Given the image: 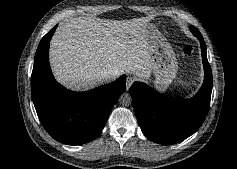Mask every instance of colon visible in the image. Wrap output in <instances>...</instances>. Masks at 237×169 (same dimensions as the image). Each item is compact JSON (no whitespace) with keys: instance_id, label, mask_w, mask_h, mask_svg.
Here are the masks:
<instances>
[{"instance_id":"colon-1","label":"colon","mask_w":237,"mask_h":169,"mask_svg":"<svg viewBox=\"0 0 237 169\" xmlns=\"http://www.w3.org/2000/svg\"><path fill=\"white\" fill-rule=\"evenodd\" d=\"M182 51H183V54L189 56V55H191L192 49H191L190 46H184V47L182 48Z\"/></svg>"}]
</instances>
